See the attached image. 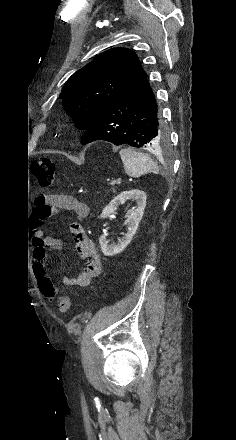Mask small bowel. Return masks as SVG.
<instances>
[{"label":"small bowel","instance_id":"c3829d8e","mask_svg":"<svg viewBox=\"0 0 236 440\" xmlns=\"http://www.w3.org/2000/svg\"><path fill=\"white\" fill-rule=\"evenodd\" d=\"M35 205V227L38 223L51 216L54 212L72 211L77 219L85 218L89 213L87 204L78 201L72 196L63 194H41L36 196ZM72 240L77 254L86 260L84 270L76 277L63 276L62 281L66 286L87 287L93 280L100 275L102 271V260L98 253L94 242L87 236L84 228L78 222H73L70 226ZM33 245L35 263L33 266V274L39 283L45 279L46 263L44 256V247L55 250L62 248V242L52 236H45L39 230L33 231Z\"/></svg>","mask_w":236,"mask_h":440}]
</instances>
